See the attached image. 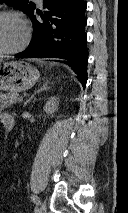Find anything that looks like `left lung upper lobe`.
Masks as SVG:
<instances>
[{
  "mask_svg": "<svg viewBox=\"0 0 128 213\" xmlns=\"http://www.w3.org/2000/svg\"><path fill=\"white\" fill-rule=\"evenodd\" d=\"M2 2H5L6 4L11 5L13 7H17L28 15L35 8V5L32 2H29V0H0V3Z\"/></svg>",
  "mask_w": 128,
  "mask_h": 213,
  "instance_id": "1",
  "label": "left lung upper lobe"
}]
</instances>
